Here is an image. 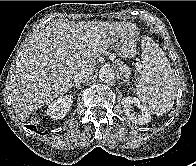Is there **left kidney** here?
<instances>
[{
    "label": "left kidney",
    "mask_w": 196,
    "mask_h": 166,
    "mask_svg": "<svg viewBox=\"0 0 196 166\" xmlns=\"http://www.w3.org/2000/svg\"><path fill=\"white\" fill-rule=\"evenodd\" d=\"M125 115L135 124L144 125L151 121L150 114L145 105L141 104L136 97H124L121 101ZM133 105L141 110V114L132 113Z\"/></svg>",
    "instance_id": "obj_1"
}]
</instances>
